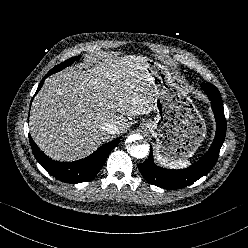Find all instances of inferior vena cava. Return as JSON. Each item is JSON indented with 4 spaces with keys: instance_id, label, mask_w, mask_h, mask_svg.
I'll list each match as a JSON object with an SVG mask.
<instances>
[{
    "instance_id": "602c4592",
    "label": "inferior vena cava",
    "mask_w": 248,
    "mask_h": 248,
    "mask_svg": "<svg viewBox=\"0 0 248 248\" xmlns=\"http://www.w3.org/2000/svg\"><path fill=\"white\" fill-rule=\"evenodd\" d=\"M103 130L106 131L107 133L109 134H115L118 130V127L116 124H113V123H106L104 126H103Z\"/></svg>"
}]
</instances>
